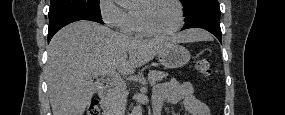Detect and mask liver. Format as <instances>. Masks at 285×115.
<instances>
[{
	"label": "liver",
	"mask_w": 285,
	"mask_h": 115,
	"mask_svg": "<svg viewBox=\"0 0 285 115\" xmlns=\"http://www.w3.org/2000/svg\"><path fill=\"white\" fill-rule=\"evenodd\" d=\"M207 37L204 31L191 29L172 38L143 40L87 20L65 26L47 48L46 74L53 115H83L100 88L101 84L92 79L100 75L98 70L132 74L171 44Z\"/></svg>",
	"instance_id": "liver-1"
}]
</instances>
